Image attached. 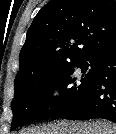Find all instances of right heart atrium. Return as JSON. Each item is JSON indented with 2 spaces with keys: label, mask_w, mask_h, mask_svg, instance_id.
Listing matches in <instances>:
<instances>
[{
  "label": "right heart atrium",
  "mask_w": 116,
  "mask_h": 134,
  "mask_svg": "<svg viewBox=\"0 0 116 134\" xmlns=\"http://www.w3.org/2000/svg\"><path fill=\"white\" fill-rule=\"evenodd\" d=\"M47 98L50 102H58L63 97V88L59 84H55L47 91Z\"/></svg>",
  "instance_id": "d8ad5b80"
}]
</instances>
